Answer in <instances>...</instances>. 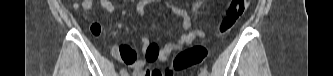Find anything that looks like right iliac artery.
I'll return each mask as SVG.
<instances>
[{"label": "right iliac artery", "instance_id": "82829eb1", "mask_svg": "<svg viewBox=\"0 0 333 76\" xmlns=\"http://www.w3.org/2000/svg\"><path fill=\"white\" fill-rule=\"evenodd\" d=\"M120 74H121V76H126L127 75L126 70L125 69H121L120 70Z\"/></svg>", "mask_w": 333, "mask_h": 76}]
</instances>
